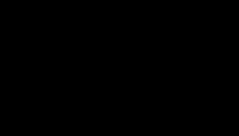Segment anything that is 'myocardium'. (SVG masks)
<instances>
[{
	"label": "myocardium",
	"mask_w": 239,
	"mask_h": 136,
	"mask_svg": "<svg viewBox=\"0 0 239 136\" xmlns=\"http://www.w3.org/2000/svg\"><path fill=\"white\" fill-rule=\"evenodd\" d=\"M162 27V24L159 25L152 33L151 35L148 37L147 41H146V45L150 46L156 39V36L160 30V28Z\"/></svg>",
	"instance_id": "f54148a6"
}]
</instances>
